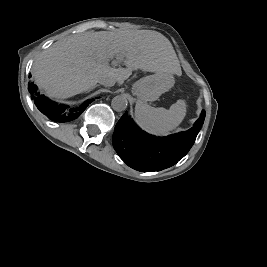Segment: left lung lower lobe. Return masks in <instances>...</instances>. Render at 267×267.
Listing matches in <instances>:
<instances>
[{
    "label": "left lung lower lobe",
    "mask_w": 267,
    "mask_h": 267,
    "mask_svg": "<svg viewBox=\"0 0 267 267\" xmlns=\"http://www.w3.org/2000/svg\"><path fill=\"white\" fill-rule=\"evenodd\" d=\"M205 111L187 132L157 138L142 131L127 113L115 126L112 141L120 158L138 171L153 172L170 167L183 158L195 142Z\"/></svg>",
    "instance_id": "left-lung-lower-lobe-1"
}]
</instances>
